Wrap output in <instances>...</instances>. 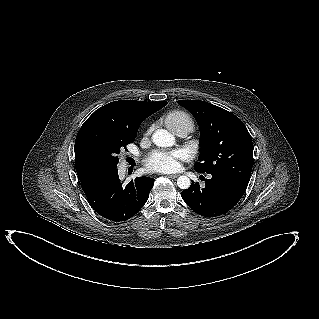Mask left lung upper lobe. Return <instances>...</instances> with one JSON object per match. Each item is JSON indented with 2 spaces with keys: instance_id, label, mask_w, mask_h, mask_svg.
<instances>
[{
  "instance_id": "left-lung-upper-lobe-1",
  "label": "left lung upper lobe",
  "mask_w": 319,
  "mask_h": 319,
  "mask_svg": "<svg viewBox=\"0 0 319 319\" xmlns=\"http://www.w3.org/2000/svg\"><path fill=\"white\" fill-rule=\"evenodd\" d=\"M200 128L199 173L224 174L249 183L253 166L251 136L242 121L221 107L200 100H180Z\"/></svg>"
}]
</instances>
